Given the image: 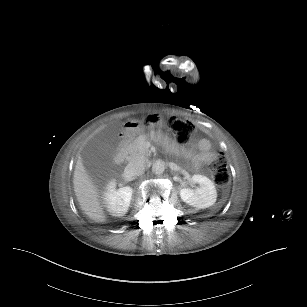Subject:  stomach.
Wrapping results in <instances>:
<instances>
[{
    "label": "stomach",
    "instance_id": "1",
    "mask_svg": "<svg viewBox=\"0 0 307 307\" xmlns=\"http://www.w3.org/2000/svg\"><path fill=\"white\" fill-rule=\"evenodd\" d=\"M163 122L159 117H155L152 119H148L147 125L150 128L156 127V126H162ZM131 130L135 133H141L146 129V124L142 120H133L130 122Z\"/></svg>",
    "mask_w": 307,
    "mask_h": 307
}]
</instances>
